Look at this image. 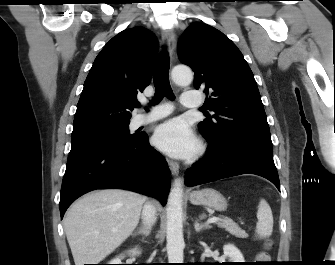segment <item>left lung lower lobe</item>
Masks as SVG:
<instances>
[{
    "label": "left lung lower lobe",
    "instance_id": "1",
    "mask_svg": "<svg viewBox=\"0 0 335 265\" xmlns=\"http://www.w3.org/2000/svg\"><path fill=\"white\" fill-rule=\"evenodd\" d=\"M206 140L210 145L209 155L188 169L186 186L240 174H256L270 180L280 191L272 144L245 137Z\"/></svg>",
    "mask_w": 335,
    "mask_h": 265
}]
</instances>
